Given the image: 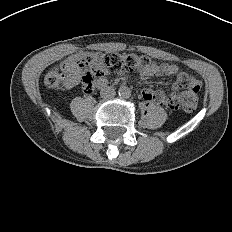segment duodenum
Masks as SVG:
<instances>
[{
  "label": "duodenum",
  "mask_w": 232,
  "mask_h": 232,
  "mask_svg": "<svg viewBox=\"0 0 232 232\" xmlns=\"http://www.w3.org/2000/svg\"><path fill=\"white\" fill-rule=\"evenodd\" d=\"M96 85H97V86H100V84H99V83H97Z\"/></svg>",
  "instance_id": "duodenum-1"
}]
</instances>
